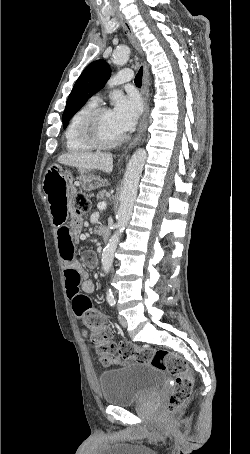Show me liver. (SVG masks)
Instances as JSON below:
<instances>
[{"mask_svg":"<svg viewBox=\"0 0 250 454\" xmlns=\"http://www.w3.org/2000/svg\"><path fill=\"white\" fill-rule=\"evenodd\" d=\"M58 163L79 169H97L110 173L113 169V156L110 153L72 152L59 156Z\"/></svg>","mask_w":250,"mask_h":454,"instance_id":"1","label":"liver"}]
</instances>
